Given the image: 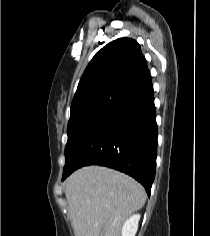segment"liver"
<instances>
[{"label":"liver","instance_id":"6515ba94","mask_svg":"<svg viewBox=\"0 0 210 236\" xmlns=\"http://www.w3.org/2000/svg\"><path fill=\"white\" fill-rule=\"evenodd\" d=\"M65 195L75 236H120L125 220L146 201L137 181L100 166L75 171L66 180Z\"/></svg>","mask_w":210,"mask_h":236}]
</instances>
